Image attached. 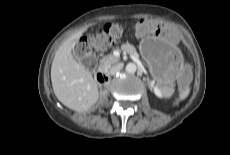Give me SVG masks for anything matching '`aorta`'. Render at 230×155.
I'll return each mask as SVG.
<instances>
[{
  "label": "aorta",
  "instance_id": "aorta-1",
  "mask_svg": "<svg viewBox=\"0 0 230 155\" xmlns=\"http://www.w3.org/2000/svg\"><path fill=\"white\" fill-rule=\"evenodd\" d=\"M125 69L128 73L133 74L136 72L137 66L134 63H128Z\"/></svg>",
  "mask_w": 230,
  "mask_h": 155
}]
</instances>
